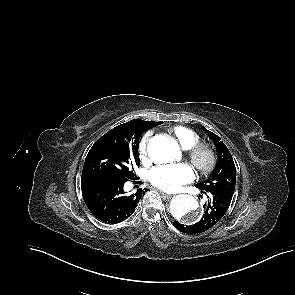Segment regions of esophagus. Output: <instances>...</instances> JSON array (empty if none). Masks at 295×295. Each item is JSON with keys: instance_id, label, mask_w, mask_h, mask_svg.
Segmentation results:
<instances>
[{"instance_id": "1", "label": "esophagus", "mask_w": 295, "mask_h": 295, "mask_svg": "<svg viewBox=\"0 0 295 295\" xmlns=\"http://www.w3.org/2000/svg\"><path fill=\"white\" fill-rule=\"evenodd\" d=\"M160 194L162 195V197L167 198V199H170L171 197H173L172 194H167V193L162 192V191H160Z\"/></svg>"}]
</instances>
